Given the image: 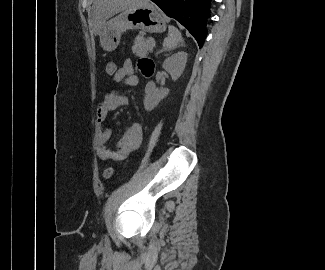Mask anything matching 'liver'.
I'll return each instance as SVG.
<instances>
[{
    "label": "liver",
    "mask_w": 325,
    "mask_h": 270,
    "mask_svg": "<svg viewBox=\"0 0 325 270\" xmlns=\"http://www.w3.org/2000/svg\"><path fill=\"white\" fill-rule=\"evenodd\" d=\"M141 3H146V0H95L91 23L93 33L100 36L103 26L110 17Z\"/></svg>",
    "instance_id": "1"
}]
</instances>
